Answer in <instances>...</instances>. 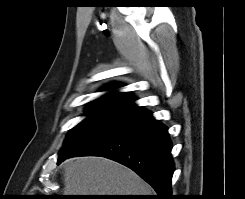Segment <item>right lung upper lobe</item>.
<instances>
[{
	"label": "right lung upper lobe",
	"instance_id": "1",
	"mask_svg": "<svg viewBox=\"0 0 245 199\" xmlns=\"http://www.w3.org/2000/svg\"><path fill=\"white\" fill-rule=\"evenodd\" d=\"M120 86L122 85L113 84L105 87L103 90H114ZM134 101V97L129 93L112 91L92 101L89 108L107 113L121 114L129 117L144 111V109L137 106Z\"/></svg>",
	"mask_w": 245,
	"mask_h": 199
}]
</instances>
